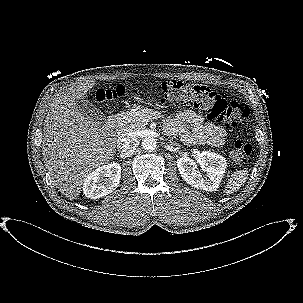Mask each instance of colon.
I'll list each match as a JSON object with an SVG mask.
<instances>
[{
  "instance_id": "colon-1",
  "label": "colon",
  "mask_w": 303,
  "mask_h": 303,
  "mask_svg": "<svg viewBox=\"0 0 303 303\" xmlns=\"http://www.w3.org/2000/svg\"><path fill=\"white\" fill-rule=\"evenodd\" d=\"M157 92L163 102L176 106H193L206 114L208 119L229 128L240 127L249 115V109L245 104L228 101L201 83L167 80L159 85ZM123 94L124 91L120 87L105 88L97 90L94 97L99 102L113 105ZM251 150L252 147L248 140L243 136H238L232 144L230 155L237 165H242Z\"/></svg>"
}]
</instances>
